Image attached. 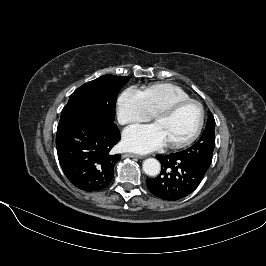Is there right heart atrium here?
I'll return each mask as SVG.
<instances>
[{
    "instance_id": "d8ad5b80",
    "label": "right heart atrium",
    "mask_w": 266,
    "mask_h": 266,
    "mask_svg": "<svg viewBox=\"0 0 266 266\" xmlns=\"http://www.w3.org/2000/svg\"><path fill=\"white\" fill-rule=\"evenodd\" d=\"M117 115L121 124H136L150 119L144 97L136 87L125 89L117 101Z\"/></svg>"
}]
</instances>
